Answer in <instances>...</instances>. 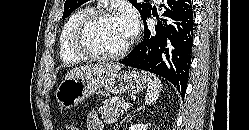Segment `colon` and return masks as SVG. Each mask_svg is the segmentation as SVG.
<instances>
[{
  "mask_svg": "<svg viewBox=\"0 0 249 130\" xmlns=\"http://www.w3.org/2000/svg\"><path fill=\"white\" fill-rule=\"evenodd\" d=\"M61 130H79V128L72 122L66 121L62 124Z\"/></svg>",
  "mask_w": 249,
  "mask_h": 130,
  "instance_id": "colon-1",
  "label": "colon"
}]
</instances>
